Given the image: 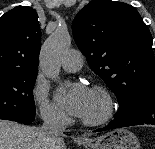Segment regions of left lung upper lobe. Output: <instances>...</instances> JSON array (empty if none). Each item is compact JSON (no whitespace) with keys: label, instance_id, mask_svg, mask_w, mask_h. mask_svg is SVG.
Masks as SVG:
<instances>
[{"label":"left lung upper lobe","instance_id":"left-lung-upper-lobe-1","mask_svg":"<svg viewBox=\"0 0 155 149\" xmlns=\"http://www.w3.org/2000/svg\"><path fill=\"white\" fill-rule=\"evenodd\" d=\"M72 31L89 66L114 91L120 107L155 89L153 39L134 7L93 0L76 15Z\"/></svg>","mask_w":155,"mask_h":149}]
</instances>
